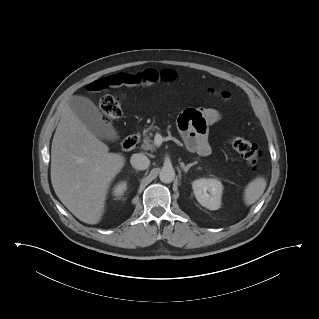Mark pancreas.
Returning <instances> with one entry per match:
<instances>
[{
	"instance_id": "1",
	"label": "pancreas",
	"mask_w": 319,
	"mask_h": 319,
	"mask_svg": "<svg viewBox=\"0 0 319 319\" xmlns=\"http://www.w3.org/2000/svg\"><path fill=\"white\" fill-rule=\"evenodd\" d=\"M154 130V127H148L147 129H145L143 131V143L141 145V148L144 150H155V145L153 143V141L151 140V137H153V133L152 131Z\"/></svg>"
}]
</instances>
